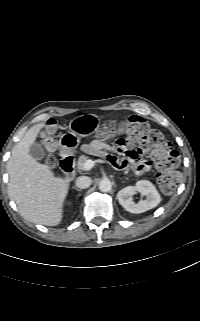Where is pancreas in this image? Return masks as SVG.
Instances as JSON below:
<instances>
[{
	"instance_id": "1",
	"label": "pancreas",
	"mask_w": 200,
	"mask_h": 321,
	"mask_svg": "<svg viewBox=\"0 0 200 321\" xmlns=\"http://www.w3.org/2000/svg\"><path fill=\"white\" fill-rule=\"evenodd\" d=\"M89 160V157L85 156V155H81L79 158H78V161H77V168L79 170H84V163Z\"/></svg>"
}]
</instances>
